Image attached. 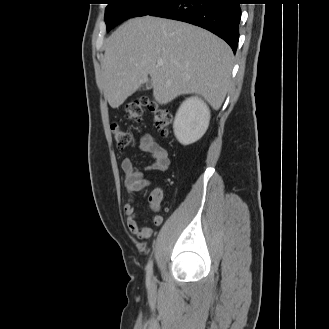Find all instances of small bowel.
Instances as JSON below:
<instances>
[{
  "instance_id": "1",
  "label": "small bowel",
  "mask_w": 329,
  "mask_h": 329,
  "mask_svg": "<svg viewBox=\"0 0 329 329\" xmlns=\"http://www.w3.org/2000/svg\"><path fill=\"white\" fill-rule=\"evenodd\" d=\"M140 149L152 158V162L145 167L146 170L164 172L170 166V158L167 150L161 146L151 135L145 134L140 138ZM125 181V197L124 213L127 217V226L130 231L138 238L145 240L152 235L150 227L139 226L137 222V213L133 204L134 193L149 186L151 182L144 177L142 171L137 169L130 158H124L121 162ZM163 199V192L160 187H155L149 195L148 202L152 211H159ZM163 218L160 215L153 217V224L161 225Z\"/></svg>"
}]
</instances>
